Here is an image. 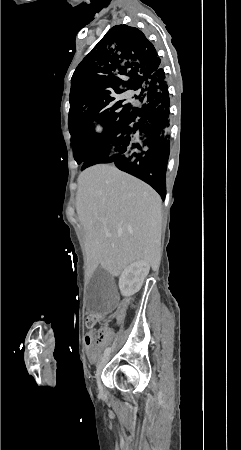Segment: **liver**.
Segmentation results:
<instances>
[{"mask_svg": "<svg viewBox=\"0 0 241 450\" xmlns=\"http://www.w3.org/2000/svg\"><path fill=\"white\" fill-rule=\"evenodd\" d=\"M77 182L76 210L85 230L90 276L98 266L120 276L136 260H146L156 272L161 260L159 194L110 164L87 168Z\"/></svg>", "mask_w": 241, "mask_h": 450, "instance_id": "obj_1", "label": "liver"}]
</instances>
